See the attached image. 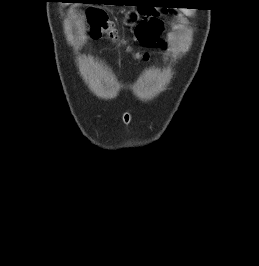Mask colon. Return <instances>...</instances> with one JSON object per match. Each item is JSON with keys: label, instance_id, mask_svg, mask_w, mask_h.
<instances>
[{"label": "colon", "instance_id": "colon-1", "mask_svg": "<svg viewBox=\"0 0 259 266\" xmlns=\"http://www.w3.org/2000/svg\"><path fill=\"white\" fill-rule=\"evenodd\" d=\"M89 25V34L94 39L106 38L116 44L117 46H126V42L121 38L113 24L101 10H93L87 16ZM162 26L157 19H147L143 21L137 29V35L140 41L146 45H161L158 40ZM129 50L128 47H126ZM137 58L148 60L147 54H135Z\"/></svg>", "mask_w": 259, "mask_h": 266}]
</instances>
